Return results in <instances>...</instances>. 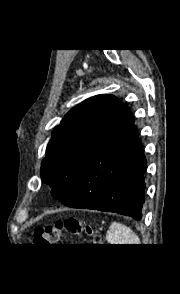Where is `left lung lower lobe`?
<instances>
[{
  "mask_svg": "<svg viewBox=\"0 0 180 294\" xmlns=\"http://www.w3.org/2000/svg\"><path fill=\"white\" fill-rule=\"evenodd\" d=\"M145 168L143 146L128 108L60 201L73 208L115 212L140 220Z\"/></svg>",
  "mask_w": 180,
  "mask_h": 294,
  "instance_id": "left-lung-lower-lobe-1",
  "label": "left lung lower lobe"
}]
</instances>
